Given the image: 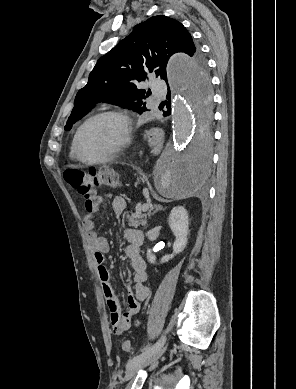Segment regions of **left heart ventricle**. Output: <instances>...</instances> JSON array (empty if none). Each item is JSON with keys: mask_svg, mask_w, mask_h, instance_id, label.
I'll use <instances>...</instances> for the list:
<instances>
[{"mask_svg": "<svg viewBox=\"0 0 296 389\" xmlns=\"http://www.w3.org/2000/svg\"><path fill=\"white\" fill-rule=\"evenodd\" d=\"M121 122L103 117L90 123L80 139V153L86 159H97L108 153L122 139Z\"/></svg>", "mask_w": 296, "mask_h": 389, "instance_id": "obj_1", "label": "left heart ventricle"}]
</instances>
